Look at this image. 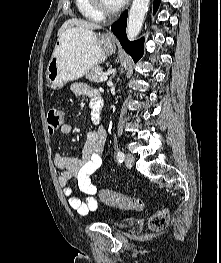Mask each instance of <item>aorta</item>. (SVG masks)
Returning a JSON list of instances; mask_svg holds the SVG:
<instances>
[{"label": "aorta", "mask_w": 221, "mask_h": 263, "mask_svg": "<svg viewBox=\"0 0 221 263\" xmlns=\"http://www.w3.org/2000/svg\"><path fill=\"white\" fill-rule=\"evenodd\" d=\"M150 0H133L129 15L126 33L129 40H135L139 35Z\"/></svg>", "instance_id": "1"}]
</instances>
